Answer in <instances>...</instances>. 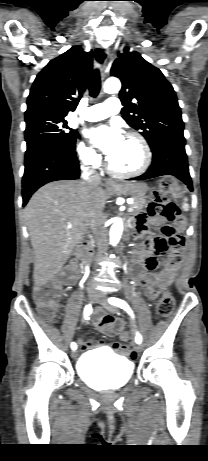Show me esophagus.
<instances>
[{"instance_id": "obj_1", "label": "esophagus", "mask_w": 208, "mask_h": 461, "mask_svg": "<svg viewBox=\"0 0 208 461\" xmlns=\"http://www.w3.org/2000/svg\"><path fill=\"white\" fill-rule=\"evenodd\" d=\"M109 57H110L109 50H107V51L105 52V56H104L103 61H102V56H101V54H99L98 57H97V55L95 56V62H96L98 65H100L101 67H103V69H104V68H106V65H107V63H108ZM105 186H106V187H114V186H116V183H115L114 181H112V180H107V181L105 182Z\"/></svg>"}]
</instances>
